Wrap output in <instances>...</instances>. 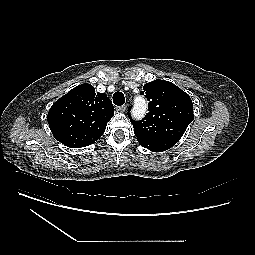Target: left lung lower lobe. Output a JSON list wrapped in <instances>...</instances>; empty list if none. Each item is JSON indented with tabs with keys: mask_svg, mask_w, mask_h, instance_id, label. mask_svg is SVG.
<instances>
[{
	"mask_svg": "<svg viewBox=\"0 0 255 255\" xmlns=\"http://www.w3.org/2000/svg\"><path fill=\"white\" fill-rule=\"evenodd\" d=\"M138 142L141 144L142 147L147 148L153 152H163L177 143V141L174 140H153Z\"/></svg>",
	"mask_w": 255,
	"mask_h": 255,
	"instance_id": "obj_1",
	"label": "left lung lower lobe"
}]
</instances>
